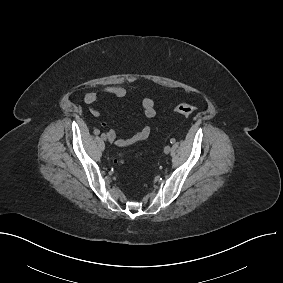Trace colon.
<instances>
[{"label": "colon", "mask_w": 283, "mask_h": 283, "mask_svg": "<svg viewBox=\"0 0 283 283\" xmlns=\"http://www.w3.org/2000/svg\"><path fill=\"white\" fill-rule=\"evenodd\" d=\"M174 111L179 115L189 116L194 113L195 107L187 103H181L175 106Z\"/></svg>", "instance_id": "obj_1"}]
</instances>
